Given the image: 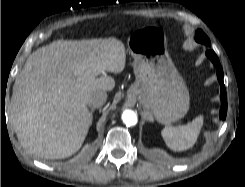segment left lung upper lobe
Segmentation results:
<instances>
[{
	"mask_svg": "<svg viewBox=\"0 0 245 187\" xmlns=\"http://www.w3.org/2000/svg\"><path fill=\"white\" fill-rule=\"evenodd\" d=\"M195 39L197 42H200V43H203V44L210 46V41H209L208 37L206 36V34L202 30L196 31Z\"/></svg>",
	"mask_w": 245,
	"mask_h": 187,
	"instance_id": "left-lung-upper-lobe-1",
	"label": "left lung upper lobe"
}]
</instances>
